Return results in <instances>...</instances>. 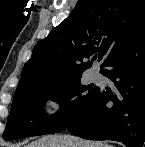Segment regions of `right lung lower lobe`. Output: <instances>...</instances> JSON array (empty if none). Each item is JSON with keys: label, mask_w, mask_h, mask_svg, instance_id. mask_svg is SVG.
<instances>
[{"label": "right lung lower lobe", "mask_w": 145, "mask_h": 147, "mask_svg": "<svg viewBox=\"0 0 145 147\" xmlns=\"http://www.w3.org/2000/svg\"><path fill=\"white\" fill-rule=\"evenodd\" d=\"M100 71L114 86L98 87L84 110L66 127L88 140H114L127 147L145 141V30L130 39Z\"/></svg>", "instance_id": "right-lung-lower-lobe-1"}]
</instances>
